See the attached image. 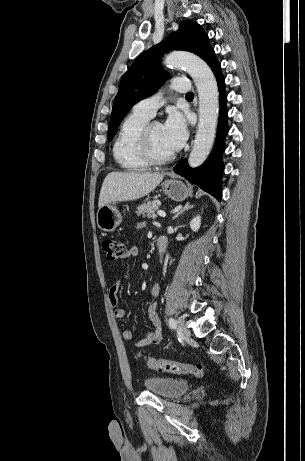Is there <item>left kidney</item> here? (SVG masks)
Instances as JSON below:
<instances>
[{
  "mask_svg": "<svg viewBox=\"0 0 305 461\" xmlns=\"http://www.w3.org/2000/svg\"><path fill=\"white\" fill-rule=\"evenodd\" d=\"M200 225H201V217L200 216H197V217L193 218V220L190 222V227H191L192 231H194V232H197L199 230Z\"/></svg>",
  "mask_w": 305,
  "mask_h": 461,
  "instance_id": "left-kidney-1",
  "label": "left kidney"
}]
</instances>
